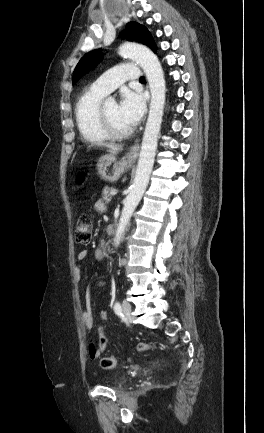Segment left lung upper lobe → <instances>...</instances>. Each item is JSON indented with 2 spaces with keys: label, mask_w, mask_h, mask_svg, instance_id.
I'll use <instances>...</instances> for the list:
<instances>
[{
  "label": "left lung upper lobe",
  "mask_w": 264,
  "mask_h": 433,
  "mask_svg": "<svg viewBox=\"0 0 264 433\" xmlns=\"http://www.w3.org/2000/svg\"><path fill=\"white\" fill-rule=\"evenodd\" d=\"M119 36L142 43L150 47L153 52H156L157 50L151 33L145 26L137 22L128 23L126 30L121 32ZM101 56L102 53L100 50H94L82 57L74 70L73 84H75L83 75L88 73L100 61Z\"/></svg>",
  "instance_id": "left-lung-upper-lobe-1"
}]
</instances>
